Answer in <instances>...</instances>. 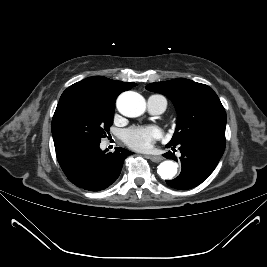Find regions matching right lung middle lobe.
Instances as JSON below:
<instances>
[{
    "instance_id": "dd1d6c3e",
    "label": "right lung middle lobe",
    "mask_w": 267,
    "mask_h": 267,
    "mask_svg": "<svg viewBox=\"0 0 267 267\" xmlns=\"http://www.w3.org/2000/svg\"><path fill=\"white\" fill-rule=\"evenodd\" d=\"M115 102L89 87L67 88L52 119L55 150L99 144L113 123Z\"/></svg>"
}]
</instances>
